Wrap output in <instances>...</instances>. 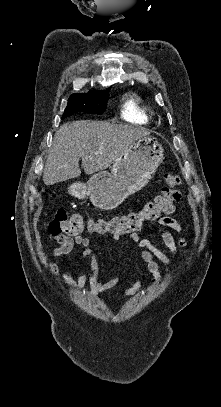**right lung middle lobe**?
<instances>
[{"mask_svg": "<svg viewBox=\"0 0 221 407\" xmlns=\"http://www.w3.org/2000/svg\"><path fill=\"white\" fill-rule=\"evenodd\" d=\"M109 90L110 89L86 94H72L68 99V105L62 119L77 112L97 115L102 114L106 109Z\"/></svg>", "mask_w": 221, "mask_h": 407, "instance_id": "right-lung-middle-lobe-1", "label": "right lung middle lobe"}]
</instances>
